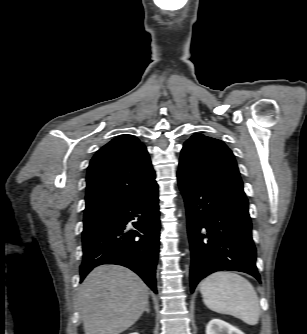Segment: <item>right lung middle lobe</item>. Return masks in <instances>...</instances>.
Instances as JSON below:
<instances>
[{"instance_id":"dd1d6c3e","label":"right lung middle lobe","mask_w":307,"mask_h":334,"mask_svg":"<svg viewBox=\"0 0 307 334\" xmlns=\"http://www.w3.org/2000/svg\"><path fill=\"white\" fill-rule=\"evenodd\" d=\"M106 216L107 214L84 217L83 235L90 232L93 228H95L98 224L105 220Z\"/></svg>"}]
</instances>
